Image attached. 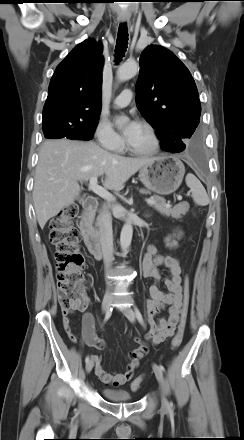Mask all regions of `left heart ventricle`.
I'll return each instance as SVG.
<instances>
[{
    "label": "left heart ventricle",
    "instance_id": "b2bd125f",
    "mask_svg": "<svg viewBox=\"0 0 244 440\" xmlns=\"http://www.w3.org/2000/svg\"><path fill=\"white\" fill-rule=\"evenodd\" d=\"M129 144L136 149H147L151 146V139L148 133L140 126L136 135L129 141Z\"/></svg>",
    "mask_w": 244,
    "mask_h": 440
}]
</instances>
